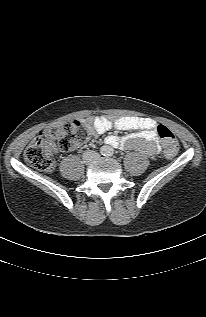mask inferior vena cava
Segmentation results:
<instances>
[{
    "label": "inferior vena cava",
    "instance_id": "inferior-vena-cava-1",
    "mask_svg": "<svg viewBox=\"0 0 206 317\" xmlns=\"http://www.w3.org/2000/svg\"><path fill=\"white\" fill-rule=\"evenodd\" d=\"M87 155H91V156H97L98 154L97 153H95V152H89V153H86L85 154V156H87Z\"/></svg>",
    "mask_w": 206,
    "mask_h": 317
}]
</instances>
